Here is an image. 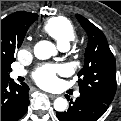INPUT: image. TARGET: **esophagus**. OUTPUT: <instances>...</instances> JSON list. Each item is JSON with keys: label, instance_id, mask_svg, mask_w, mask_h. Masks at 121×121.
Wrapping results in <instances>:
<instances>
[{"label": "esophagus", "instance_id": "esophagus-1", "mask_svg": "<svg viewBox=\"0 0 121 121\" xmlns=\"http://www.w3.org/2000/svg\"><path fill=\"white\" fill-rule=\"evenodd\" d=\"M48 97L51 98V99H54L57 97V95L55 94H51V93H47Z\"/></svg>", "mask_w": 121, "mask_h": 121}]
</instances>
